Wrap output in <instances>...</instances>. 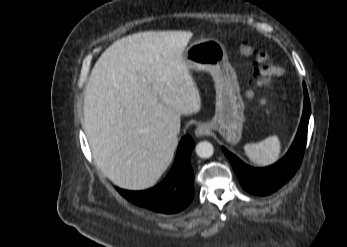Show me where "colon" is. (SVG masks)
<instances>
[{
	"label": "colon",
	"mask_w": 347,
	"mask_h": 247,
	"mask_svg": "<svg viewBox=\"0 0 347 247\" xmlns=\"http://www.w3.org/2000/svg\"><path fill=\"white\" fill-rule=\"evenodd\" d=\"M241 52L245 56L253 54V45L244 41L240 45ZM252 75L257 80L258 86L274 85L281 77V67L275 63L273 56L269 51L262 52L258 55L256 62L252 67Z\"/></svg>",
	"instance_id": "colon-1"
}]
</instances>
